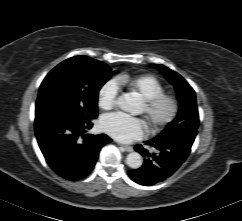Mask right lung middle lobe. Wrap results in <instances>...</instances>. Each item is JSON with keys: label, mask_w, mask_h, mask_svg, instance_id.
Segmentation results:
<instances>
[{"label": "right lung middle lobe", "mask_w": 242, "mask_h": 221, "mask_svg": "<svg viewBox=\"0 0 242 221\" xmlns=\"http://www.w3.org/2000/svg\"><path fill=\"white\" fill-rule=\"evenodd\" d=\"M115 71L87 56H75L57 65L43 80L36 102L35 119L60 115L89 120L98 116L100 88Z\"/></svg>", "instance_id": "dd1d6c3e"}]
</instances>
